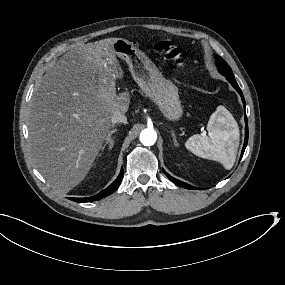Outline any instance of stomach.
Segmentation results:
<instances>
[{
  "mask_svg": "<svg viewBox=\"0 0 285 285\" xmlns=\"http://www.w3.org/2000/svg\"><path fill=\"white\" fill-rule=\"evenodd\" d=\"M113 50L128 64L133 79L143 94L157 106L162 116L172 122L179 120L184 110L177 87L164 78L152 60L125 39H117Z\"/></svg>",
  "mask_w": 285,
  "mask_h": 285,
  "instance_id": "1",
  "label": "stomach"
}]
</instances>
